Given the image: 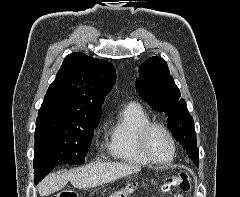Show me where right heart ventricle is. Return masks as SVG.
<instances>
[{
  "instance_id": "e07e8e85",
  "label": "right heart ventricle",
  "mask_w": 240,
  "mask_h": 197,
  "mask_svg": "<svg viewBox=\"0 0 240 197\" xmlns=\"http://www.w3.org/2000/svg\"><path fill=\"white\" fill-rule=\"evenodd\" d=\"M151 121L147 111L138 103L124 105L111 122L107 131L108 154L124 163L145 166L150 161L142 154L138 135L140 129Z\"/></svg>"
}]
</instances>
